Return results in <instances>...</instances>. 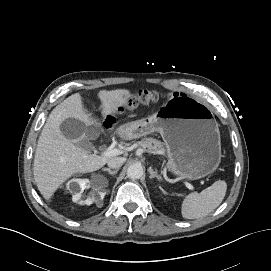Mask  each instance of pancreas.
Segmentation results:
<instances>
[{"instance_id": "1", "label": "pancreas", "mask_w": 271, "mask_h": 271, "mask_svg": "<svg viewBox=\"0 0 271 271\" xmlns=\"http://www.w3.org/2000/svg\"><path fill=\"white\" fill-rule=\"evenodd\" d=\"M138 145L144 149L147 148L154 154H163L165 150L163 147V143L153 138H145L142 141L138 142Z\"/></svg>"}]
</instances>
